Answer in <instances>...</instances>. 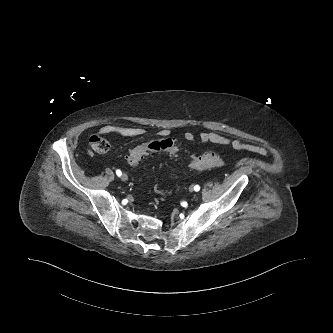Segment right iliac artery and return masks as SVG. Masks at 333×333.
I'll return each instance as SVG.
<instances>
[{"mask_svg": "<svg viewBox=\"0 0 333 333\" xmlns=\"http://www.w3.org/2000/svg\"><path fill=\"white\" fill-rule=\"evenodd\" d=\"M116 174H117V176H121V174H122V172L120 171V170H116Z\"/></svg>", "mask_w": 333, "mask_h": 333, "instance_id": "obj_1", "label": "right iliac artery"}]
</instances>
